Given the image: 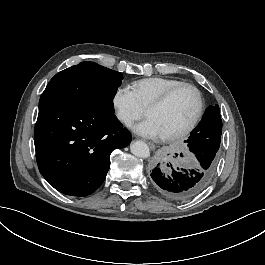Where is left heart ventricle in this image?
I'll return each mask as SVG.
<instances>
[{"label":"left heart ventricle","instance_id":"obj_1","mask_svg":"<svg viewBox=\"0 0 265 265\" xmlns=\"http://www.w3.org/2000/svg\"><path fill=\"white\" fill-rule=\"evenodd\" d=\"M197 110L195 94L189 90L178 93L166 106L147 112L148 118L154 119L164 136L184 129L193 119Z\"/></svg>","mask_w":265,"mask_h":265}]
</instances>
